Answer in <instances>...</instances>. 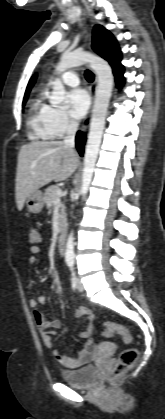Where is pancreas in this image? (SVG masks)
Returning <instances> with one entry per match:
<instances>
[{
    "label": "pancreas",
    "mask_w": 165,
    "mask_h": 419,
    "mask_svg": "<svg viewBox=\"0 0 165 419\" xmlns=\"http://www.w3.org/2000/svg\"><path fill=\"white\" fill-rule=\"evenodd\" d=\"M59 189L57 185H51L45 189L44 193V203L46 204L47 208H51L57 200L56 191ZM61 213L59 217V227L62 230L66 223V212L65 206L63 203L60 204Z\"/></svg>",
    "instance_id": "obj_1"
}]
</instances>
